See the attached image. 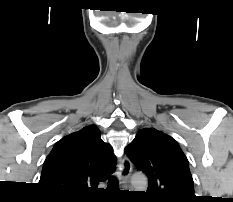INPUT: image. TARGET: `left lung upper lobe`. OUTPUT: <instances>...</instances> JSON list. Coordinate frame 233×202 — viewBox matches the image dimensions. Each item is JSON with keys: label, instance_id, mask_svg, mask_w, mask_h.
Wrapping results in <instances>:
<instances>
[{"label": "left lung upper lobe", "instance_id": "left-lung-upper-lobe-1", "mask_svg": "<svg viewBox=\"0 0 233 202\" xmlns=\"http://www.w3.org/2000/svg\"><path fill=\"white\" fill-rule=\"evenodd\" d=\"M138 170L148 176L147 196L155 202H193L189 163L178 143L154 128L140 130L125 148Z\"/></svg>", "mask_w": 233, "mask_h": 202}]
</instances>
